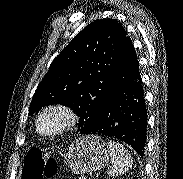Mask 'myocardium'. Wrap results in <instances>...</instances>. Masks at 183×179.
I'll list each match as a JSON object with an SVG mask.
<instances>
[{"label":"myocardium","instance_id":"f54148a6","mask_svg":"<svg viewBox=\"0 0 183 179\" xmlns=\"http://www.w3.org/2000/svg\"><path fill=\"white\" fill-rule=\"evenodd\" d=\"M50 112H58L62 114V116L64 117V123L60 127L52 131H44L41 127L42 119L47 113ZM77 121L78 115L71 106L62 103H54L46 106L39 113L36 123V129L38 133H40L43 136H56L72 130L76 126Z\"/></svg>","mask_w":183,"mask_h":179}]
</instances>
